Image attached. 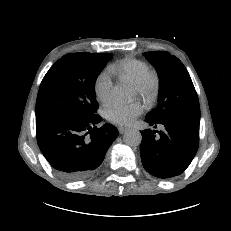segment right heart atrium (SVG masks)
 <instances>
[{"instance_id":"obj_1","label":"right heart atrium","mask_w":231,"mask_h":231,"mask_svg":"<svg viewBox=\"0 0 231 231\" xmlns=\"http://www.w3.org/2000/svg\"><path fill=\"white\" fill-rule=\"evenodd\" d=\"M113 82L109 71H102L95 79L94 91L97 98L108 103L112 98Z\"/></svg>"}]
</instances>
